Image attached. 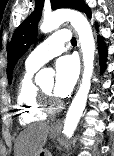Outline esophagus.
<instances>
[{"instance_id":"esophagus-1","label":"esophagus","mask_w":114,"mask_h":156,"mask_svg":"<svg viewBox=\"0 0 114 156\" xmlns=\"http://www.w3.org/2000/svg\"><path fill=\"white\" fill-rule=\"evenodd\" d=\"M78 47L80 48V44H79V41H78ZM62 126V120H57L56 122L53 123L52 127L53 128H61Z\"/></svg>"}]
</instances>
